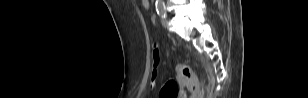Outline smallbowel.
Returning a JSON list of instances; mask_svg holds the SVG:
<instances>
[{"instance_id": "c3829d8e", "label": "small bowel", "mask_w": 308, "mask_h": 98, "mask_svg": "<svg viewBox=\"0 0 308 98\" xmlns=\"http://www.w3.org/2000/svg\"><path fill=\"white\" fill-rule=\"evenodd\" d=\"M142 5L145 9L149 8V1L148 0H142Z\"/></svg>"}]
</instances>
